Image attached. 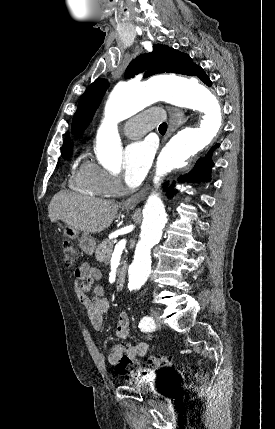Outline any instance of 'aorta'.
Instances as JSON below:
<instances>
[{
	"label": "aorta",
	"mask_w": 275,
	"mask_h": 429,
	"mask_svg": "<svg viewBox=\"0 0 275 429\" xmlns=\"http://www.w3.org/2000/svg\"><path fill=\"white\" fill-rule=\"evenodd\" d=\"M163 100L173 105L202 112L200 126L187 127L174 135L160 153L154 183L206 147L221 127L223 111L216 93L192 78L160 77L147 82L117 85L105 106L96 137V154L108 170L117 172L121 165V140L117 123L146 106ZM167 222L165 207L157 194H151L143 211V223L134 259L129 267L130 290L140 288L151 273V249L157 244Z\"/></svg>",
	"instance_id": "762f6f07"
}]
</instances>
